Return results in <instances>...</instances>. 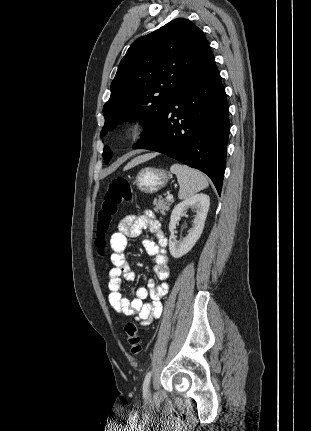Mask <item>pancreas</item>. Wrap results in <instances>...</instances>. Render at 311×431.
I'll use <instances>...</instances> for the list:
<instances>
[{"label":"pancreas","instance_id":"pancreas-1","mask_svg":"<svg viewBox=\"0 0 311 431\" xmlns=\"http://www.w3.org/2000/svg\"><path fill=\"white\" fill-rule=\"evenodd\" d=\"M174 200H164L162 196H158L153 200L154 204V212H158V214H162V216H165L166 212L170 210V206H172Z\"/></svg>","mask_w":311,"mask_h":431}]
</instances>
